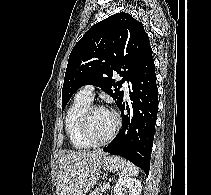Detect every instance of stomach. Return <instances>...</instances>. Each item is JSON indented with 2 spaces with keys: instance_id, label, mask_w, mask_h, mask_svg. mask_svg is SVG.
<instances>
[{
  "instance_id": "obj_1",
  "label": "stomach",
  "mask_w": 211,
  "mask_h": 195,
  "mask_svg": "<svg viewBox=\"0 0 211 195\" xmlns=\"http://www.w3.org/2000/svg\"><path fill=\"white\" fill-rule=\"evenodd\" d=\"M125 166L126 161L123 158L119 156H105L101 158L98 166L90 173V176L88 177V182L91 187L96 184L100 177L101 168L109 172H118L123 170ZM85 193L86 192H83L82 195H86Z\"/></svg>"
}]
</instances>
